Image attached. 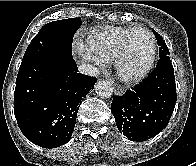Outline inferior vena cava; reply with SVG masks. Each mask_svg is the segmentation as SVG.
<instances>
[{"label": "inferior vena cava", "instance_id": "obj_1", "mask_svg": "<svg viewBox=\"0 0 196 166\" xmlns=\"http://www.w3.org/2000/svg\"><path fill=\"white\" fill-rule=\"evenodd\" d=\"M78 70L81 74L88 75V76L99 75L98 69L92 66L91 64L82 63L78 66Z\"/></svg>", "mask_w": 196, "mask_h": 166}]
</instances>
